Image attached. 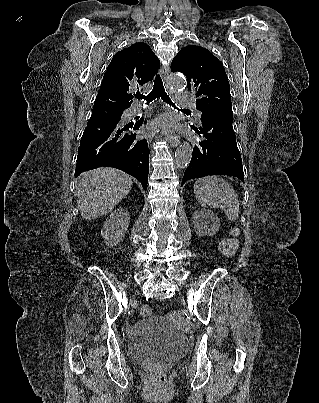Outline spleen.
Instances as JSON below:
<instances>
[{
    "instance_id": "3e777b00",
    "label": "spleen",
    "mask_w": 319,
    "mask_h": 403,
    "mask_svg": "<svg viewBox=\"0 0 319 403\" xmlns=\"http://www.w3.org/2000/svg\"><path fill=\"white\" fill-rule=\"evenodd\" d=\"M197 201L204 207L220 208L230 221L239 215V200L232 185L220 176H207L194 184Z\"/></svg>"
}]
</instances>
